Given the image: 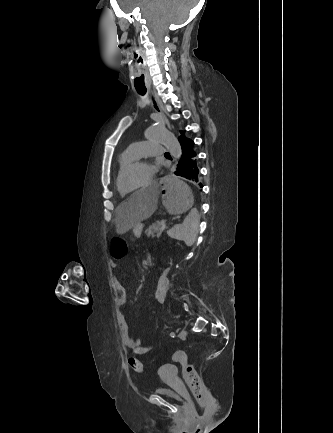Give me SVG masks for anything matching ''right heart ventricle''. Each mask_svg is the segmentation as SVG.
<instances>
[{
  "label": "right heart ventricle",
  "mask_w": 333,
  "mask_h": 433,
  "mask_svg": "<svg viewBox=\"0 0 333 433\" xmlns=\"http://www.w3.org/2000/svg\"><path fill=\"white\" fill-rule=\"evenodd\" d=\"M137 158L136 157H134L128 150H126V151H124L121 155H120V157H119V159H118V164H117V171H116V175H115V188H116V190H117V192L119 193V195L121 196V197H124V196H126V194H124V193H121L120 191H119V188H118V178H119V176H120V174H121V172H122V170L129 164V163H131L132 161H134V160H136Z\"/></svg>",
  "instance_id": "1"
}]
</instances>
